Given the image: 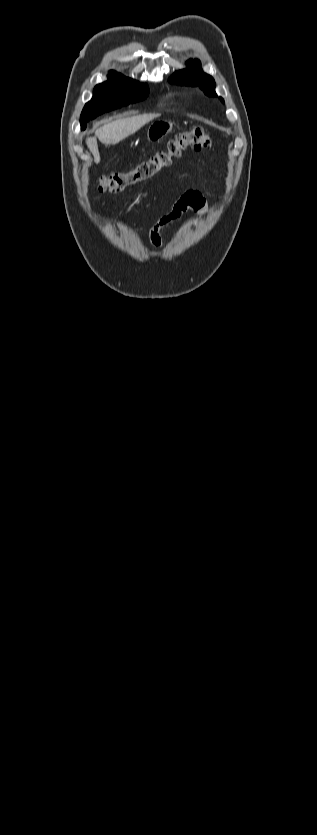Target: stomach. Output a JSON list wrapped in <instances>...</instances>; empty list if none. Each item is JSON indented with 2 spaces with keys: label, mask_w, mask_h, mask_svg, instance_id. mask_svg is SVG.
I'll list each match as a JSON object with an SVG mask.
<instances>
[{
  "label": "stomach",
  "mask_w": 317,
  "mask_h": 835,
  "mask_svg": "<svg viewBox=\"0 0 317 835\" xmlns=\"http://www.w3.org/2000/svg\"><path fill=\"white\" fill-rule=\"evenodd\" d=\"M174 123L167 120L153 122L147 130V139L154 144L167 136L173 129Z\"/></svg>",
  "instance_id": "0dacf381"
}]
</instances>
